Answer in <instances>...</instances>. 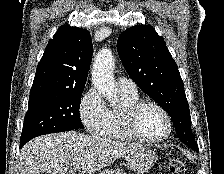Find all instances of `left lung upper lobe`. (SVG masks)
<instances>
[{
    "mask_svg": "<svg viewBox=\"0 0 224 174\" xmlns=\"http://www.w3.org/2000/svg\"><path fill=\"white\" fill-rule=\"evenodd\" d=\"M117 50L131 79L169 114L180 141L198 151L184 85L163 39L151 26L137 25L119 36Z\"/></svg>",
    "mask_w": 224,
    "mask_h": 174,
    "instance_id": "obj_1",
    "label": "left lung upper lobe"
}]
</instances>
